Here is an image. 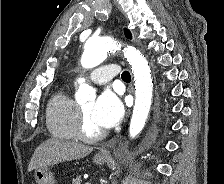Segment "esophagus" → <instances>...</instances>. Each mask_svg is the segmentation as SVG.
<instances>
[{
    "mask_svg": "<svg viewBox=\"0 0 224 184\" xmlns=\"http://www.w3.org/2000/svg\"><path fill=\"white\" fill-rule=\"evenodd\" d=\"M100 154L103 155V156H108L109 155V151L103 150V151L100 152Z\"/></svg>",
    "mask_w": 224,
    "mask_h": 184,
    "instance_id": "1",
    "label": "esophagus"
}]
</instances>
